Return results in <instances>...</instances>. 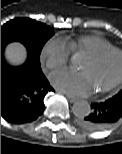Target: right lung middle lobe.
I'll use <instances>...</instances> for the list:
<instances>
[{"mask_svg": "<svg viewBox=\"0 0 122 154\" xmlns=\"http://www.w3.org/2000/svg\"><path fill=\"white\" fill-rule=\"evenodd\" d=\"M52 35L53 29L50 26L29 18H16L1 27V47L12 41H19L40 65L41 50Z\"/></svg>", "mask_w": 122, "mask_h": 154, "instance_id": "right-lung-middle-lobe-1", "label": "right lung middle lobe"}]
</instances>
